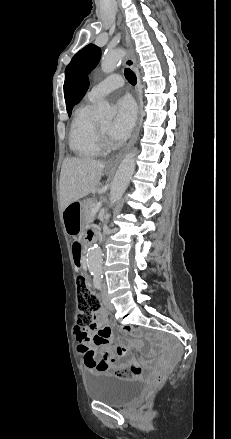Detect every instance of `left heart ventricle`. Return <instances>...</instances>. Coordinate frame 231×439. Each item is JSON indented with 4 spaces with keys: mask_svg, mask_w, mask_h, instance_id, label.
Here are the masks:
<instances>
[{
    "mask_svg": "<svg viewBox=\"0 0 231 439\" xmlns=\"http://www.w3.org/2000/svg\"><path fill=\"white\" fill-rule=\"evenodd\" d=\"M99 125L105 132H109L110 125H111L110 121L100 122Z\"/></svg>",
    "mask_w": 231,
    "mask_h": 439,
    "instance_id": "left-heart-ventricle-1",
    "label": "left heart ventricle"
}]
</instances>
